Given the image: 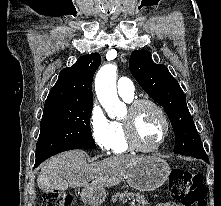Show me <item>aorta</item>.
<instances>
[{"label":"aorta","mask_w":221,"mask_h":206,"mask_svg":"<svg viewBox=\"0 0 221 206\" xmlns=\"http://www.w3.org/2000/svg\"><path fill=\"white\" fill-rule=\"evenodd\" d=\"M117 68L113 64L101 67L95 78L97 98L110 118L125 111V105L119 100L116 90Z\"/></svg>","instance_id":"1"}]
</instances>
